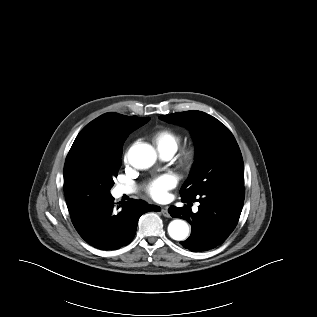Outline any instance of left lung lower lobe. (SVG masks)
Wrapping results in <instances>:
<instances>
[{
  "mask_svg": "<svg viewBox=\"0 0 317 317\" xmlns=\"http://www.w3.org/2000/svg\"><path fill=\"white\" fill-rule=\"evenodd\" d=\"M244 193V187L217 186L196 197L182 198L183 202H199L197 213H192L187 205L170 207L168 212L173 218H183L192 227L190 237L180 242L181 245L192 252H198L222 244L237 225Z\"/></svg>",
  "mask_w": 317,
  "mask_h": 317,
  "instance_id": "obj_1",
  "label": "left lung lower lobe"
}]
</instances>
